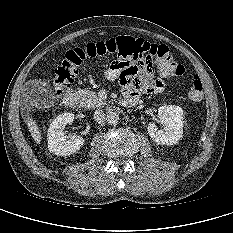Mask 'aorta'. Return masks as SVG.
<instances>
[{
	"label": "aorta",
	"instance_id": "aorta-1",
	"mask_svg": "<svg viewBox=\"0 0 233 233\" xmlns=\"http://www.w3.org/2000/svg\"><path fill=\"white\" fill-rule=\"evenodd\" d=\"M107 121L109 124H117L119 121V115L116 112H109L107 114Z\"/></svg>",
	"mask_w": 233,
	"mask_h": 233
}]
</instances>
